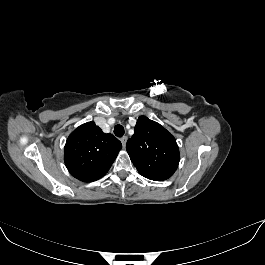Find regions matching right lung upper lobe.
Masks as SVG:
<instances>
[{
  "label": "right lung upper lobe",
  "mask_w": 265,
  "mask_h": 265,
  "mask_svg": "<svg viewBox=\"0 0 265 265\" xmlns=\"http://www.w3.org/2000/svg\"><path fill=\"white\" fill-rule=\"evenodd\" d=\"M121 148V142L112 134L88 122L69 135L64 148L65 165L78 180L92 182L108 172Z\"/></svg>",
  "instance_id": "right-lung-upper-lobe-1"
}]
</instances>
